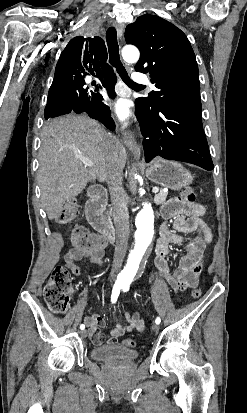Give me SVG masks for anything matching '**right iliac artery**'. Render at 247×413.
<instances>
[{"label": "right iliac artery", "instance_id": "1", "mask_svg": "<svg viewBox=\"0 0 247 413\" xmlns=\"http://www.w3.org/2000/svg\"><path fill=\"white\" fill-rule=\"evenodd\" d=\"M121 289H122V287H121L120 285L115 284V285L113 286L112 295H111V302H112V303H115V302L117 301V298H118V296H119V294H120V290H121ZM84 328H85V325H84V324L80 325V329H81V330H84Z\"/></svg>", "mask_w": 247, "mask_h": 413}]
</instances>
